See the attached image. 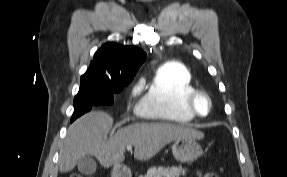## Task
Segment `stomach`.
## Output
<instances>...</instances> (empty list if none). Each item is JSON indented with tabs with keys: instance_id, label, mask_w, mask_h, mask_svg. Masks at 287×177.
I'll return each mask as SVG.
<instances>
[{
	"instance_id": "stomach-1",
	"label": "stomach",
	"mask_w": 287,
	"mask_h": 177,
	"mask_svg": "<svg viewBox=\"0 0 287 177\" xmlns=\"http://www.w3.org/2000/svg\"><path fill=\"white\" fill-rule=\"evenodd\" d=\"M172 153L176 160L182 163H190L202 155V148L196 138L184 137L175 140L172 146ZM124 174L122 166L117 165L112 169L113 177H121Z\"/></svg>"
}]
</instances>
